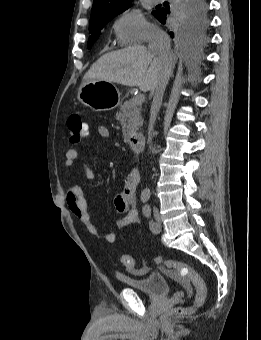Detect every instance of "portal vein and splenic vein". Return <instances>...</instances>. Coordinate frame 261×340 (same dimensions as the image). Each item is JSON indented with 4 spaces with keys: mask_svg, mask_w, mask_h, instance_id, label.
<instances>
[{
    "mask_svg": "<svg viewBox=\"0 0 261 340\" xmlns=\"http://www.w3.org/2000/svg\"><path fill=\"white\" fill-rule=\"evenodd\" d=\"M145 95L144 94H138L135 97L132 98L131 103L133 106L140 105L144 102Z\"/></svg>",
    "mask_w": 261,
    "mask_h": 340,
    "instance_id": "portal-vein-and-splenic-vein-1",
    "label": "portal vein and splenic vein"
}]
</instances>
